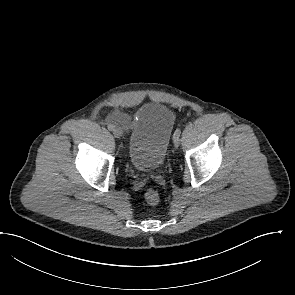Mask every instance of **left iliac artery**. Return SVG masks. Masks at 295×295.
I'll use <instances>...</instances> for the list:
<instances>
[{
    "mask_svg": "<svg viewBox=\"0 0 295 295\" xmlns=\"http://www.w3.org/2000/svg\"><path fill=\"white\" fill-rule=\"evenodd\" d=\"M181 134V129L177 128L176 131L174 132L173 138H179Z\"/></svg>",
    "mask_w": 295,
    "mask_h": 295,
    "instance_id": "44dca946",
    "label": "left iliac artery"
}]
</instances>
